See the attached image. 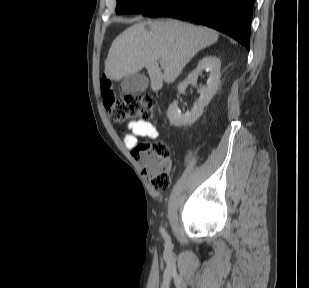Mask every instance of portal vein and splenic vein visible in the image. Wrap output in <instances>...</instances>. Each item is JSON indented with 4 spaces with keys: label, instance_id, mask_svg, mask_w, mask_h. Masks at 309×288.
<instances>
[{
    "label": "portal vein and splenic vein",
    "instance_id": "1",
    "mask_svg": "<svg viewBox=\"0 0 309 288\" xmlns=\"http://www.w3.org/2000/svg\"><path fill=\"white\" fill-rule=\"evenodd\" d=\"M160 64H161V66H162V65H164V62H163L162 60H160Z\"/></svg>",
    "mask_w": 309,
    "mask_h": 288
}]
</instances>
